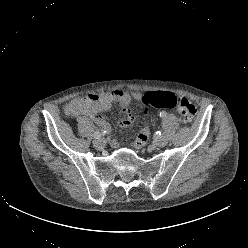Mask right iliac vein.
<instances>
[{"label":"right iliac vein","mask_w":248,"mask_h":248,"mask_svg":"<svg viewBox=\"0 0 248 248\" xmlns=\"http://www.w3.org/2000/svg\"><path fill=\"white\" fill-rule=\"evenodd\" d=\"M93 144L96 148L98 149H102L104 148L105 146V140L102 139L101 137L100 138H96L94 141H93Z\"/></svg>","instance_id":"right-iliac-vein-1"}]
</instances>
